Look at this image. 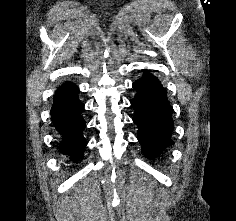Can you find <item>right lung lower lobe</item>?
Masks as SVG:
<instances>
[{"label":"right lung lower lobe","mask_w":236,"mask_h":221,"mask_svg":"<svg viewBox=\"0 0 236 221\" xmlns=\"http://www.w3.org/2000/svg\"><path fill=\"white\" fill-rule=\"evenodd\" d=\"M79 89L76 85L65 82L55 95L51 109V119L61 136L60 152L77 162L83 158L86 142L82 135L85 121L81 117L84 105L78 100Z\"/></svg>","instance_id":"98d812e1"}]
</instances>
